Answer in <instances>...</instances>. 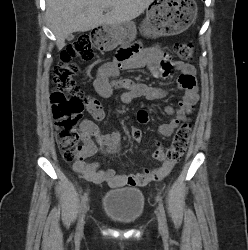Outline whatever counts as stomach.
Returning a JSON list of instances; mask_svg holds the SVG:
<instances>
[{"label":"stomach","instance_id":"0dacf381","mask_svg":"<svg viewBox=\"0 0 248 250\" xmlns=\"http://www.w3.org/2000/svg\"><path fill=\"white\" fill-rule=\"evenodd\" d=\"M194 0H155L146 11L141 33L147 37L170 36L188 29L197 17ZM103 49L112 50L118 45H128L136 38L137 29L133 22L103 25Z\"/></svg>","mask_w":248,"mask_h":250}]
</instances>
